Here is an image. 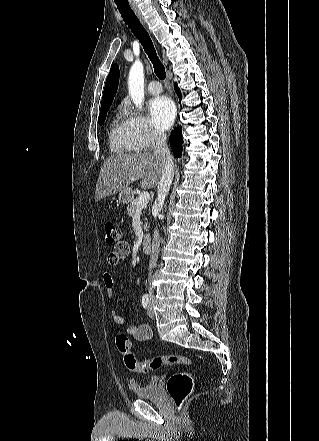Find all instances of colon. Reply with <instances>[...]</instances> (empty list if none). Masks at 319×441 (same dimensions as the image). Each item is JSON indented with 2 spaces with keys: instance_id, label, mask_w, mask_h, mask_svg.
Segmentation results:
<instances>
[{
  "instance_id": "obj_1",
  "label": "colon",
  "mask_w": 319,
  "mask_h": 441,
  "mask_svg": "<svg viewBox=\"0 0 319 441\" xmlns=\"http://www.w3.org/2000/svg\"><path fill=\"white\" fill-rule=\"evenodd\" d=\"M120 238L121 235L115 224L111 222L106 223L104 226V239L106 244L113 245L118 243ZM115 342L118 351L123 356L126 367L133 372L148 373L157 371L166 365H193V360L190 357L179 354H169L139 360L131 352V341L129 337L122 332L116 335ZM193 384L192 375L187 371L176 372L169 377L166 384L167 392L178 409L183 407V404L192 393Z\"/></svg>"
}]
</instances>
